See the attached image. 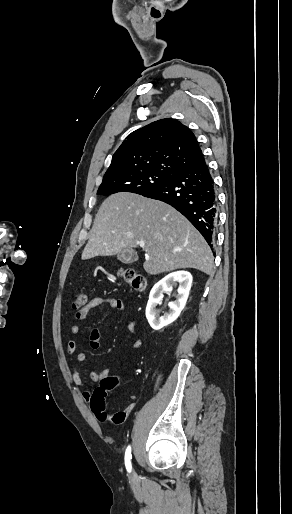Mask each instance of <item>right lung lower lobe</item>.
Returning a JSON list of instances; mask_svg holds the SVG:
<instances>
[{"label": "right lung lower lobe", "mask_w": 292, "mask_h": 514, "mask_svg": "<svg viewBox=\"0 0 292 514\" xmlns=\"http://www.w3.org/2000/svg\"><path fill=\"white\" fill-rule=\"evenodd\" d=\"M145 197L163 201L182 213L211 245L217 221V195L205 162L174 173Z\"/></svg>", "instance_id": "right-lung-lower-lobe-1"}]
</instances>
